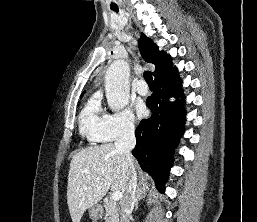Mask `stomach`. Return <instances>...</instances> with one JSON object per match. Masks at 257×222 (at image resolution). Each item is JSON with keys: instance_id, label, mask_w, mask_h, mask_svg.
I'll list each match as a JSON object with an SVG mask.
<instances>
[{"instance_id": "1", "label": "stomach", "mask_w": 257, "mask_h": 222, "mask_svg": "<svg viewBox=\"0 0 257 222\" xmlns=\"http://www.w3.org/2000/svg\"><path fill=\"white\" fill-rule=\"evenodd\" d=\"M90 219L96 221L101 216L100 211L97 207H91L88 211Z\"/></svg>"}]
</instances>
